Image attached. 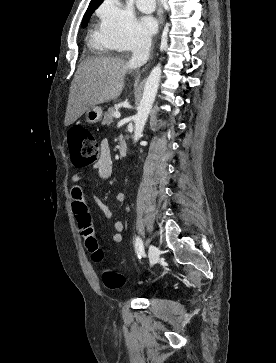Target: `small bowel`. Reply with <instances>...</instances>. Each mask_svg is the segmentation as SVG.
<instances>
[{"instance_id":"c3829d8e","label":"small bowel","mask_w":276,"mask_h":363,"mask_svg":"<svg viewBox=\"0 0 276 363\" xmlns=\"http://www.w3.org/2000/svg\"><path fill=\"white\" fill-rule=\"evenodd\" d=\"M94 168L98 171L99 177L102 179H109L113 174V161L111 156V149L108 141L102 140L100 145V156L98 160L94 163ZM72 181L74 186L70 190V196L73 204V211L78 217L87 214L90 220V224L86 228H81L82 236L84 239L87 238L88 233H92L95 236V229L91 223V217L88 210V203L86 200V187L87 182L84 176V172H77L72 176ZM115 199L119 203H124L126 201V196L123 193H118ZM100 210L107 218H112L113 213L109 207L106 205H100ZM114 229L116 234L113 237L114 242L122 241V232L124 230V224L120 220L114 222Z\"/></svg>"}]
</instances>
